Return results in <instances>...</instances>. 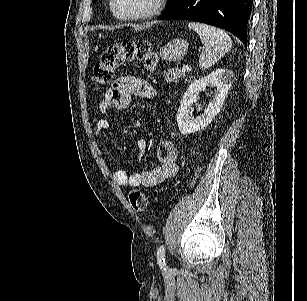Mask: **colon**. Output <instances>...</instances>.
Segmentation results:
<instances>
[{
    "label": "colon",
    "instance_id": "1",
    "mask_svg": "<svg viewBox=\"0 0 307 301\" xmlns=\"http://www.w3.org/2000/svg\"><path fill=\"white\" fill-rule=\"evenodd\" d=\"M133 60L142 61L147 70L154 72L158 59L148 41L124 40L114 43L106 48L95 64L93 79L101 85L108 84L119 65ZM129 201L137 212H144L148 208V197L141 190L130 191Z\"/></svg>",
    "mask_w": 307,
    "mask_h": 301
}]
</instances>
